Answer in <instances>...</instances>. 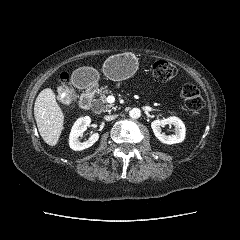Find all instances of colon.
<instances>
[{
    "instance_id": "5ec220e1",
    "label": "colon",
    "mask_w": 240,
    "mask_h": 240,
    "mask_svg": "<svg viewBox=\"0 0 240 240\" xmlns=\"http://www.w3.org/2000/svg\"><path fill=\"white\" fill-rule=\"evenodd\" d=\"M152 74L156 81L166 82L174 78L177 74L176 67L168 61L157 60L152 66ZM62 84L67 88L69 96L72 98V92L69 87V76L67 73L60 75ZM181 97L187 109L194 115L201 112L204 101L198 87L194 84H185L181 90Z\"/></svg>"
}]
</instances>
